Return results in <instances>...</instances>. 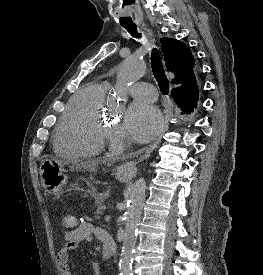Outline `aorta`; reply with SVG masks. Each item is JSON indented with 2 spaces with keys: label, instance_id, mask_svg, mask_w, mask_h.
Returning a JSON list of instances; mask_svg holds the SVG:
<instances>
[{
  "label": "aorta",
  "instance_id": "obj_1",
  "mask_svg": "<svg viewBox=\"0 0 263 275\" xmlns=\"http://www.w3.org/2000/svg\"><path fill=\"white\" fill-rule=\"evenodd\" d=\"M145 73L143 61L136 57H129L122 62L117 73L116 91L121 97L127 95L130 85L136 82ZM146 196V181L138 179L130 195L129 204L125 213V231L123 246L120 255V275H131L133 254L136 246L138 224Z\"/></svg>",
  "mask_w": 263,
  "mask_h": 275
}]
</instances>
